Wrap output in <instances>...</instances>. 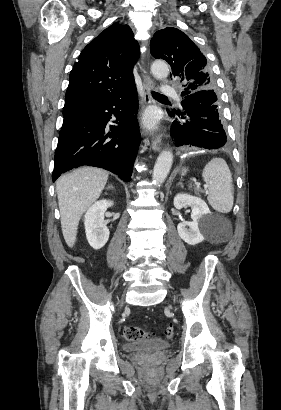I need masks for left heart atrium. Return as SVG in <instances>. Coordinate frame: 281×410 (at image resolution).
<instances>
[{
	"label": "left heart atrium",
	"mask_w": 281,
	"mask_h": 410,
	"mask_svg": "<svg viewBox=\"0 0 281 410\" xmlns=\"http://www.w3.org/2000/svg\"><path fill=\"white\" fill-rule=\"evenodd\" d=\"M147 122H148L149 124H153V123L155 122V117H154L153 114H149V115L147 116Z\"/></svg>",
	"instance_id": "39dd6f15"
}]
</instances>
